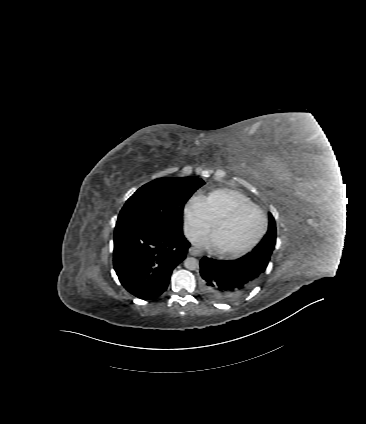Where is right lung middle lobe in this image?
Here are the masks:
<instances>
[{"instance_id": "1", "label": "right lung middle lobe", "mask_w": 366, "mask_h": 424, "mask_svg": "<svg viewBox=\"0 0 366 424\" xmlns=\"http://www.w3.org/2000/svg\"><path fill=\"white\" fill-rule=\"evenodd\" d=\"M197 177L159 178L138 189L123 206L116 226L161 227L169 233L182 232L184 204L204 185Z\"/></svg>"}]
</instances>
